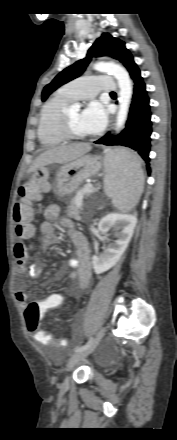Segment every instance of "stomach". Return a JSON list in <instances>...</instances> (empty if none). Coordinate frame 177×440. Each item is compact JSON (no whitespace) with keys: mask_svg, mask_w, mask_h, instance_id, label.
Returning <instances> with one entry per match:
<instances>
[{"mask_svg":"<svg viewBox=\"0 0 177 440\" xmlns=\"http://www.w3.org/2000/svg\"><path fill=\"white\" fill-rule=\"evenodd\" d=\"M111 162H113V150L106 154L104 165ZM101 165L100 158L91 155H85L64 164L57 171L54 193L59 197L71 195L83 181L96 175L101 169ZM40 170L43 168L36 169L34 176H37Z\"/></svg>","mask_w":177,"mask_h":440,"instance_id":"0dacf381","label":"stomach"}]
</instances>
